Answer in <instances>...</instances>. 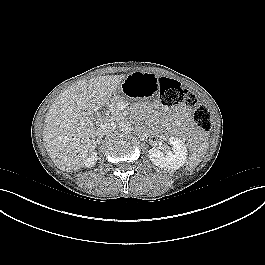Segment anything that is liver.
<instances>
[{"instance_id": "liver-1", "label": "liver", "mask_w": 265, "mask_h": 265, "mask_svg": "<svg viewBox=\"0 0 265 265\" xmlns=\"http://www.w3.org/2000/svg\"><path fill=\"white\" fill-rule=\"evenodd\" d=\"M125 75L82 80L65 89L50 106L44 121L43 141L54 164L76 171L96 148L91 115L109 103Z\"/></svg>"}]
</instances>
